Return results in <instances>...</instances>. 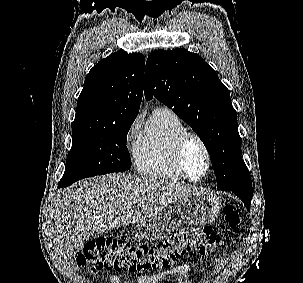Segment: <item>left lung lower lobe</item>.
Listing matches in <instances>:
<instances>
[{
    "label": "left lung lower lobe",
    "instance_id": "1",
    "mask_svg": "<svg viewBox=\"0 0 303 283\" xmlns=\"http://www.w3.org/2000/svg\"><path fill=\"white\" fill-rule=\"evenodd\" d=\"M220 190H225V191H230L232 193H234L235 195H237L245 204V206L247 207V209H250V203H251V199H252V192H245V191H241V190H237V189H220Z\"/></svg>",
    "mask_w": 303,
    "mask_h": 283
}]
</instances>
